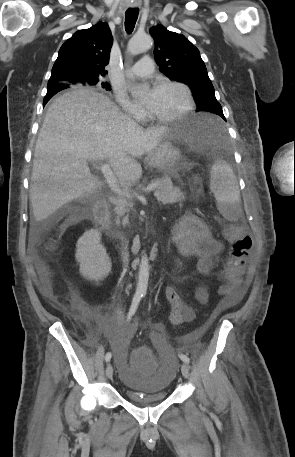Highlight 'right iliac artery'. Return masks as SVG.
Here are the masks:
<instances>
[{
    "label": "right iliac artery",
    "mask_w": 295,
    "mask_h": 457,
    "mask_svg": "<svg viewBox=\"0 0 295 457\" xmlns=\"http://www.w3.org/2000/svg\"><path fill=\"white\" fill-rule=\"evenodd\" d=\"M141 297L142 295L141 294H135L134 298H133V301H132V304L130 306V309H129V312H128V315H127V319L130 320L132 318V316L135 314L136 310H137V307L139 305V302L141 300ZM111 357H112V354L110 352H108L106 355H105V360L106 362H109L111 360Z\"/></svg>",
    "instance_id": "1"
}]
</instances>
